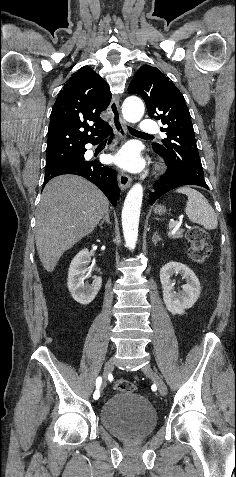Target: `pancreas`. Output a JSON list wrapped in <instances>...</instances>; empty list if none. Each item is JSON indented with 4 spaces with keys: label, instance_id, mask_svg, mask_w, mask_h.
<instances>
[{
    "label": "pancreas",
    "instance_id": "1",
    "mask_svg": "<svg viewBox=\"0 0 236 477\" xmlns=\"http://www.w3.org/2000/svg\"><path fill=\"white\" fill-rule=\"evenodd\" d=\"M183 229H178L174 233H169L168 236L172 239H179L183 237Z\"/></svg>",
    "mask_w": 236,
    "mask_h": 477
}]
</instances>
